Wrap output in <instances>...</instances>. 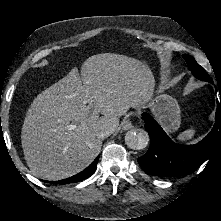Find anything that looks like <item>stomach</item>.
Wrapping results in <instances>:
<instances>
[{
	"mask_svg": "<svg viewBox=\"0 0 221 221\" xmlns=\"http://www.w3.org/2000/svg\"><path fill=\"white\" fill-rule=\"evenodd\" d=\"M148 107L168 133L175 132L180 127L181 111L174 97L167 94H159L150 99Z\"/></svg>",
	"mask_w": 221,
	"mask_h": 221,
	"instance_id": "1",
	"label": "stomach"
}]
</instances>
